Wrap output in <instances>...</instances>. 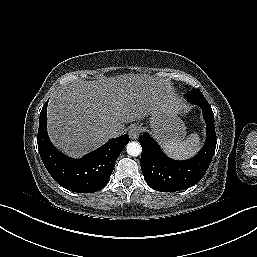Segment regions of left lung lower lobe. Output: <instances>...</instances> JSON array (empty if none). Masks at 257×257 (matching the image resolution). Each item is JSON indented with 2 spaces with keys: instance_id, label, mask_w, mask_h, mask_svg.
<instances>
[{
  "instance_id": "obj_1",
  "label": "left lung lower lobe",
  "mask_w": 257,
  "mask_h": 257,
  "mask_svg": "<svg viewBox=\"0 0 257 257\" xmlns=\"http://www.w3.org/2000/svg\"><path fill=\"white\" fill-rule=\"evenodd\" d=\"M201 107L206 121L207 139L193 158L176 161L167 157L148 134L139 137L142 146L141 169L147 184L160 192H174L195 185L208 169L216 148L214 114L207 101L193 103Z\"/></svg>"
}]
</instances>
